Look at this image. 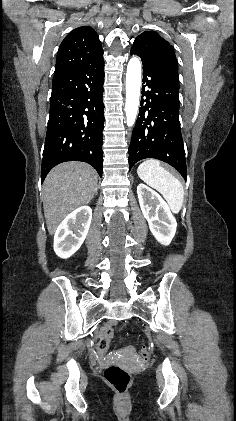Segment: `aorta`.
Instances as JSON below:
<instances>
[{
  "label": "aorta",
  "mask_w": 236,
  "mask_h": 421,
  "mask_svg": "<svg viewBox=\"0 0 236 421\" xmlns=\"http://www.w3.org/2000/svg\"><path fill=\"white\" fill-rule=\"evenodd\" d=\"M142 66L140 58L132 56L127 64L125 114L127 126H133L138 114Z\"/></svg>",
  "instance_id": "obj_1"
}]
</instances>
